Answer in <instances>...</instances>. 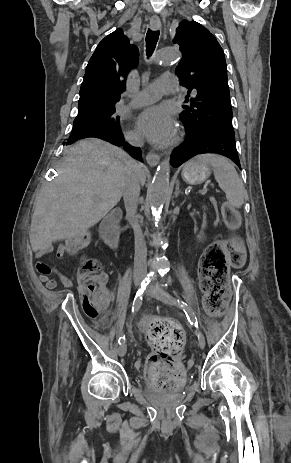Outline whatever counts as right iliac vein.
Instances as JSON below:
<instances>
[{"label":"right iliac vein","mask_w":291,"mask_h":463,"mask_svg":"<svg viewBox=\"0 0 291 463\" xmlns=\"http://www.w3.org/2000/svg\"><path fill=\"white\" fill-rule=\"evenodd\" d=\"M140 282H141V278H138V279L135 280L136 285H139ZM126 351H127V346H126V344L123 343V344L119 345V347H118V354H119L121 357H123V356L126 354Z\"/></svg>","instance_id":"right-iliac-vein-1"}]
</instances>
